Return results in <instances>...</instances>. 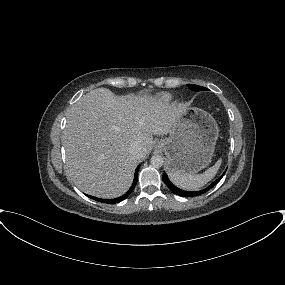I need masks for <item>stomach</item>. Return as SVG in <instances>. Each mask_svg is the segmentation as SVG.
<instances>
[{"label": "stomach", "mask_w": 285, "mask_h": 285, "mask_svg": "<svg viewBox=\"0 0 285 285\" xmlns=\"http://www.w3.org/2000/svg\"><path fill=\"white\" fill-rule=\"evenodd\" d=\"M218 134L217 123L209 113L187 108L169 136L155 147L165 153L169 173L195 174L211 162Z\"/></svg>", "instance_id": "1"}]
</instances>
